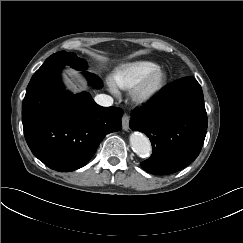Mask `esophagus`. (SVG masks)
<instances>
[{"label":"esophagus","mask_w":243,"mask_h":243,"mask_svg":"<svg viewBox=\"0 0 243 243\" xmlns=\"http://www.w3.org/2000/svg\"><path fill=\"white\" fill-rule=\"evenodd\" d=\"M129 121H130V116L127 113H124L122 117V127L125 131L129 129Z\"/></svg>","instance_id":"1"}]
</instances>
